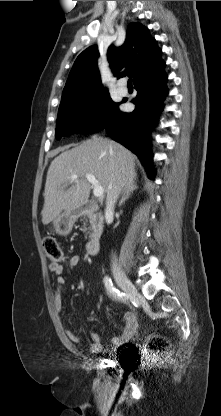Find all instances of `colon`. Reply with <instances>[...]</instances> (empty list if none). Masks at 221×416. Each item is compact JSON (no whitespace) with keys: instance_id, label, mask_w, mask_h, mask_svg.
<instances>
[{"instance_id":"obj_1","label":"colon","mask_w":221,"mask_h":416,"mask_svg":"<svg viewBox=\"0 0 221 416\" xmlns=\"http://www.w3.org/2000/svg\"><path fill=\"white\" fill-rule=\"evenodd\" d=\"M43 246L48 259L52 263H60L63 259V252L59 243L52 237L43 240ZM167 342L161 337H154L148 342V348L151 351L160 352L165 350Z\"/></svg>"}]
</instances>
